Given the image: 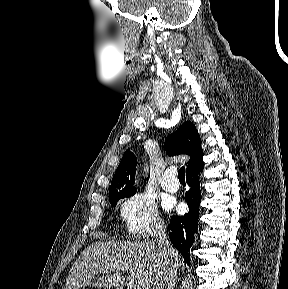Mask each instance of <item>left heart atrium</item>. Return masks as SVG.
<instances>
[{
  "instance_id": "left-heart-atrium-1",
  "label": "left heart atrium",
  "mask_w": 288,
  "mask_h": 289,
  "mask_svg": "<svg viewBox=\"0 0 288 289\" xmlns=\"http://www.w3.org/2000/svg\"><path fill=\"white\" fill-rule=\"evenodd\" d=\"M172 207H173V203L172 202L169 201V202L165 203V208L166 209H171Z\"/></svg>"
}]
</instances>
